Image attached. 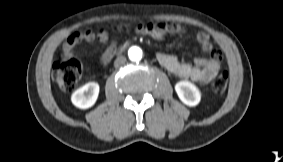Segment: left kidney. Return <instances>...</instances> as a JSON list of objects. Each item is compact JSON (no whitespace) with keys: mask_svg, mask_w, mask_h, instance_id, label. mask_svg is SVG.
Masks as SVG:
<instances>
[{"mask_svg":"<svg viewBox=\"0 0 283 162\" xmlns=\"http://www.w3.org/2000/svg\"><path fill=\"white\" fill-rule=\"evenodd\" d=\"M175 91L179 99L189 107L198 105L201 100L200 91L189 81L177 82L175 85Z\"/></svg>","mask_w":283,"mask_h":162,"instance_id":"5707ae66","label":"left kidney"}]
</instances>
